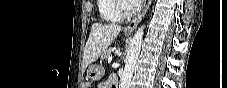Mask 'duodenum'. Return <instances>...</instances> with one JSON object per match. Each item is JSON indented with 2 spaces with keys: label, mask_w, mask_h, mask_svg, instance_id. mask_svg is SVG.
<instances>
[{
  "label": "duodenum",
  "mask_w": 227,
  "mask_h": 88,
  "mask_svg": "<svg viewBox=\"0 0 227 88\" xmlns=\"http://www.w3.org/2000/svg\"><path fill=\"white\" fill-rule=\"evenodd\" d=\"M117 84H118L117 79H113V80H112V85H113V87H116V86H117Z\"/></svg>",
  "instance_id": "duodenum-1"
}]
</instances>
